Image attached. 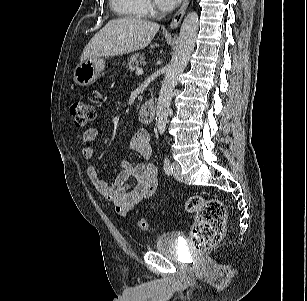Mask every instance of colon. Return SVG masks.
I'll use <instances>...</instances> for the list:
<instances>
[{"mask_svg": "<svg viewBox=\"0 0 307 301\" xmlns=\"http://www.w3.org/2000/svg\"><path fill=\"white\" fill-rule=\"evenodd\" d=\"M70 114L78 127H84L95 118V108L90 103L74 100L70 103ZM185 208L195 214V223L190 231V247L200 253L218 244L223 236L226 209L223 202L217 198L203 199L192 196L187 199ZM137 226L141 231L149 229L146 219H139Z\"/></svg>", "mask_w": 307, "mask_h": 301, "instance_id": "colon-1", "label": "colon"}]
</instances>
